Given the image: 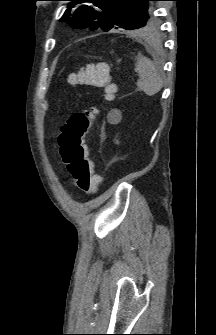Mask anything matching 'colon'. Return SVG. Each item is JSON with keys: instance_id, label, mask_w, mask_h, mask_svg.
I'll list each match as a JSON object with an SVG mask.
<instances>
[{"instance_id": "1", "label": "colon", "mask_w": 216, "mask_h": 335, "mask_svg": "<svg viewBox=\"0 0 216 335\" xmlns=\"http://www.w3.org/2000/svg\"><path fill=\"white\" fill-rule=\"evenodd\" d=\"M70 80L104 89L107 100H111L118 90V83L112 80L106 63L88 64L75 71ZM98 113L99 109L96 107L75 112L64 123L57 139L59 153L67 171L77 187L86 193L96 192L102 182L101 177L94 173V163L85 143L91 122Z\"/></svg>"}]
</instances>
